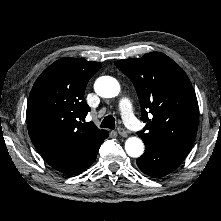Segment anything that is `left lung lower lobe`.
Instances as JSON below:
<instances>
[{"instance_id":"0a47b994","label":"left lung lower lobe","mask_w":221,"mask_h":221,"mask_svg":"<svg viewBox=\"0 0 221 221\" xmlns=\"http://www.w3.org/2000/svg\"><path fill=\"white\" fill-rule=\"evenodd\" d=\"M145 153L136 160L145 174L160 178L174 171L185 159L188 152L167 144L143 140Z\"/></svg>"}]
</instances>
